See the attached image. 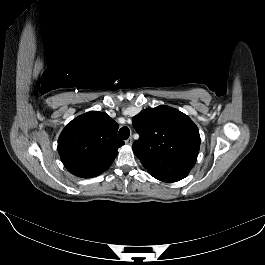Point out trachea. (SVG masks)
Listing matches in <instances>:
<instances>
[{
  "label": "trachea",
  "mask_w": 265,
  "mask_h": 265,
  "mask_svg": "<svg viewBox=\"0 0 265 265\" xmlns=\"http://www.w3.org/2000/svg\"><path fill=\"white\" fill-rule=\"evenodd\" d=\"M130 135V130L127 126H123L120 130H119V133H118V136L120 139L122 140H126L128 139Z\"/></svg>",
  "instance_id": "trachea-1"
}]
</instances>
